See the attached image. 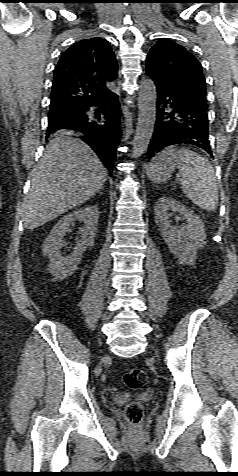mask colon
Instances as JSON below:
<instances>
[{"label":"colon","instance_id":"obj_1","mask_svg":"<svg viewBox=\"0 0 238 476\" xmlns=\"http://www.w3.org/2000/svg\"><path fill=\"white\" fill-rule=\"evenodd\" d=\"M145 372L138 368L129 369L124 375L125 384L132 389H138L146 384ZM143 415V407L138 402H130L125 407V417L133 425L140 423Z\"/></svg>","mask_w":238,"mask_h":476}]
</instances>
